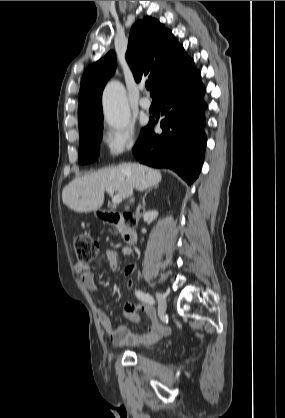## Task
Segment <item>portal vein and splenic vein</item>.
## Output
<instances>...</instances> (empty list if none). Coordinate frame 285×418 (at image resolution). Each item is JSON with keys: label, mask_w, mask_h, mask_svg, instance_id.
I'll use <instances>...</instances> for the list:
<instances>
[{"label": "portal vein and splenic vein", "mask_w": 285, "mask_h": 418, "mask_svg": "<svg viewBox=\"0 0 285 418\" xmlns=\"http://www.w3.org/2000/svg\"><path fill=\"white\" fill-rule=\"evenodd\" d=\"M106 191H107V193L109 195H113V193H114V190L111 189V188L106 189ZM121 201H122V197L120 195H118V194L117 195H114L112 197L113 204H119Z\"/></svg>", "instance_id": "18ae733b"}]
</instances>
